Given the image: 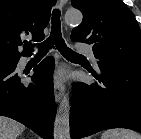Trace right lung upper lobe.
Returning <instances> with one entry per match:
<instances>
[{"label":"right lung upper lobe","instance_id":"cb5924a9","mask_svg":"<svg viewBox=\"0 0 141 139\" xmlns=\"http://www.w3.org/2000/svg\"><path fill=\"white\" fill-rule=\"evenodd\" d=\"M56 0H0V57L19 59L30 56L32 46L23 39H44L43 30L49 23ZM27 43L20 53L18 46Z\"/></svg>","mask_w":141,"mask_h":139}]
</instances>
